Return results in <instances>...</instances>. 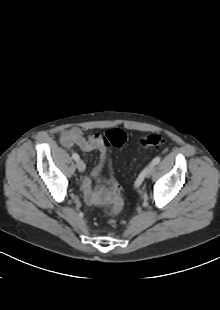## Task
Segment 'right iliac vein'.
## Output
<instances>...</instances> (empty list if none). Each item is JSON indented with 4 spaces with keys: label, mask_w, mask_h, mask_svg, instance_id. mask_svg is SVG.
I'll use <instances>...</instances> for the list:
<instances>
[{
    "label": "right iliac vein",
    "mask_w": 220,
    "mask_h": 310,
    "mask_svg": "<svg viewBox=\"0 0 220 310\" xmlns=\"http://www.w3.org/2000/svg\"><path fill=\"white\" fill-rule=\"evenodd\" d=\"M76 166L80 172L85 171V163L82 160H78Z\"/></svg>",
    "instance_id": "right-iliac-vein-1"
}]
</instances>
